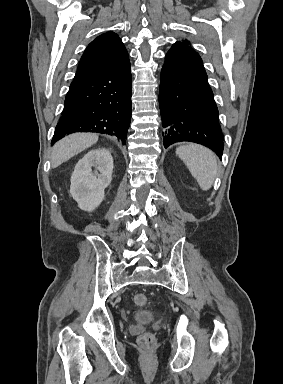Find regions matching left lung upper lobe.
I'll list each match as a JSON object with an SVG mask.
<instances>
[{
    "label": "left lung upper lobe",
    "instance_id": "1",
    "mask_svg": "<svg viewBox=\"0 0 283 384\" xmlns=\"http://www.w3.org/2000/svg\"><path fill=\"white\" fill-rule=\"evenodd\" d=\"M184 43L188 44L189 42L188 41H184Z\"/></svg>",
    "mask_w": 283,
    "mask_h": 384
}]
</instances>
